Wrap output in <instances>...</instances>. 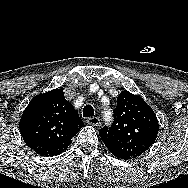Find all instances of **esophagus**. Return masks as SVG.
<instances>
[{
  "label": "esophagus",
  "mask_w": 188,
  "mask_h": 188,
  "mask_svg": "<svg viewBox=\"0 0 188 188\" xmlns=\"http://www.w3.org/2000/svg\"><path fill=\"white\" fill-rule=\"evenodd\" d=\"M86 122L90 125L97 126L100 123V119L98 117H90L86 120Z\"/></svg>",
  "instance_id": "obj_1"
}]
</instances>
